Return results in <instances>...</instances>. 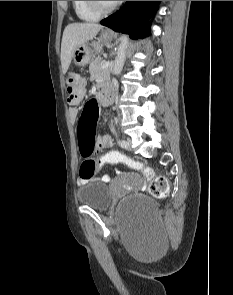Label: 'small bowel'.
I'll return each mask as SVG.
<instances>
[{
    "label": "small bowel",
    "mask_w": 233,
    "mask_h": 295,
    "mask_svg": "<svg viewBox=\"0 0 233 295\" xmlns=\"http://www.w3.org/2000/svg\"><path fill=\"white\" fill-rule=\"evenodd\" d=\"M84 95H85V92L76 98H70V97L68 98V103L70 104L69 112H70V117L72 119L77 118V116L79 114V104L82 102ZM87 111L92 113L96 117V120L98 119L99 108H98L96 102H94V101L88 102L83 110V113H85ZM97 145H98V149H100V150L107 149V148L112 147L113 141L108 136H102L97 140ZM102 179L106 182H108L110 180L108 175H104L102 177ZM85 181L86 180H84V179H79L78 184L80 185V184L84 183Z\"/></svg>",
    "instance_id": "c3829d8e"
}]
</instances>
